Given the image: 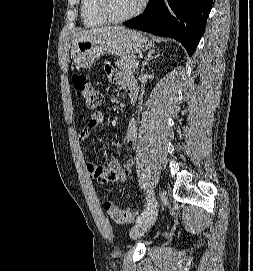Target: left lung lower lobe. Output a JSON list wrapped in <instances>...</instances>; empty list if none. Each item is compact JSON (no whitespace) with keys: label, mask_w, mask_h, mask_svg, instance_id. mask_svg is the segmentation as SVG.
Returning <instances> with one entry per match:
<instances>
[{"label":"left lung lower lobe","mask_w":253,"mask_h":271,"mask_svg":"<svg viewBox=\"0 0 253 271\" xmlns=\"http://www.w3.org/2000/svg\"><path fill=\"white\" fill-rule=\"evenodd\" d=\"M213 0H150L125 26L178 40L191 56L205 30Z\"/></svg>","instance_id":"0a47b994"}]
</instances>
